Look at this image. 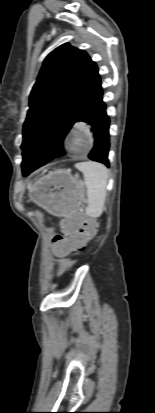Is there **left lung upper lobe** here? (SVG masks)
Listing matches in <instances>:
<instances>
[{
  "mask_svg": "<svg viewBox=\"0 0 155 413\" xmlns=\"http://www.w3.org/2000/svg\"><path fill=\"white\" fill-rule=\"evenodd\" d=\"M100 83L96 64L68 43L45 59L32 89L23 128V174L49 161L60 149L54 141L68 133Z\"/></svg>",
  "mask_w": 155,
  "mask_h": 413,
  "instance_id": "5c2ea615",
  "label": "left lung upper lobe"
}]
</instances>
